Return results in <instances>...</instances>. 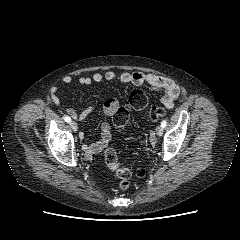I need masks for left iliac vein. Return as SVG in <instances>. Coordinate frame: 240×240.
<instances>
[{"instance_id": "4c4485c4", "label": "left iliac vein", "mask_w": 240, "mask_h": 240, "mask_svg": "<svg viewBox=\"0 0 240 240\" xmlns=\"http://www.w3.org/2000/svg\"><path fill=\"white\" fill-rule=\"evenodd\" d=\"M156 133L158 136H162L163 134V128L161 126L156 127Z\"/></svg>"}]
</instances>
